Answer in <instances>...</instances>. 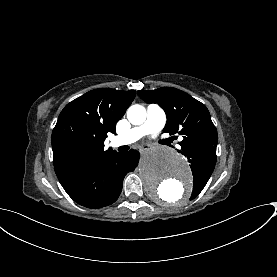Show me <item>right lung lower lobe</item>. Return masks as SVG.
<instances>
[{
	"mask_svg": "<svg viewBox=\"0 0 277 277\" xmlns=\"http://www.w3.org/2000/svg\"><path fill=\"white\" fill-rule=\"evenodd\" d=\"M139 157L135 150L127 153L113 151L74 170L60 183L67 194L82 206H108L119 197L123 179L137 167Z\"/></svg>",
	"mask_w": 277,
	"mask_h": 277,
	"instance_id": "obj_1",
	"label": "right lung lower lobe"
}]
</instances>
